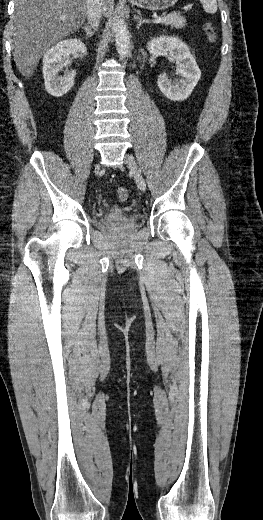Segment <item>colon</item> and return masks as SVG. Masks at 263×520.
I'll return each instance as SVG.
<instances>
[{"label":"colon","instance_id":"obj_1","mask_svg":"<svg viewBox=\"0 0 263 520\" xmlns=\"http://www.w3.org/2000/svg\"><path fill=\"white\" fill-rule=\"evenodd\" d=\"M204 31L210 41H214L216 38L215 30L209 23L204 25ZM117 198L119 201L124 202L128 198V190L125 187H120L117 190Z\"/></svg>","mask_w":263,"mask_h":520}]
</instances>
